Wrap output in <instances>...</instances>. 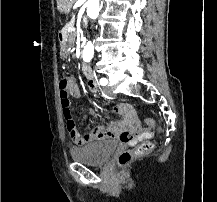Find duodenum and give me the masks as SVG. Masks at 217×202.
Wrapping results in <instances>:
<instances>
[{
	"label": "duodenum",
	"mask_w": 217,
	"mask_h": 202,
	"mask_svg": "<svg viewBox=\"0 0 217 202\" xmlns=\"http://www.w3.org/2000/svg\"><path fill=\"white\" fill-rule=\"evenodd\" d=\"M60 42L62 44L65 42V38H64V36L62 34L60 35ZM83 73H84V75H85V77L87 78L88 81L94 80V73H93L92 69L89 66L85 65L83 67Z\"/></svg>",
	"instance_id": "duodenum-1"
}]
</instances>
